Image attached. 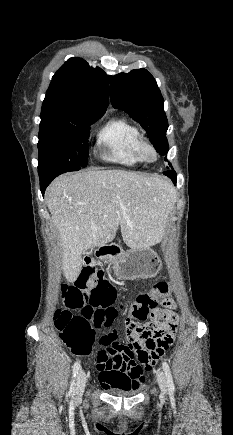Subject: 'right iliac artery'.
I'll return each mask as SVG.
<instances>
[{
  "label": "right iliac artery",
  "instance_id": "obj_1",
  "mask_svg": "<svg viewBox=\"0 0 233 435\" xmlns=\"http://www.w3.org/2000/svg\"><path fill=\"white\" fill-rule=\"evenodd\" d=\"M79 368H80V363L79 362H75L74 365H73V378L76 377V374H77ZM74 386H75V380L73 379L72 382H71V385H70V389H69V395H71V396H73L74 392H75Z\"/></svg>",
  "mask_w": 233,
  "mask_h": 435
}]
</instances>
